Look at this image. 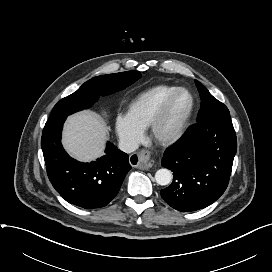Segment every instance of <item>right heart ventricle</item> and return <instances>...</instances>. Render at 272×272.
Returning a JSON list of instances; mask_svg holds the SVG:
<instances>
[{
    "label": "right heart ventricle",
    "mask_w": 272,
    "mask_h": 272,
    "mask_svg": "<svg viewBox=\"0 0 272 272\" xmlns=\"http://www.w3.org/2000/svg\"><path fill=\"white\" fill-rule=\"evenodd\" d=\"M178 87L160 84L139 93L128 105L127 115L142 130L149 127L165 99Z\"/></svg>",
    "instance_id": "right-heart-ventricle-1"
}]
</instances>
